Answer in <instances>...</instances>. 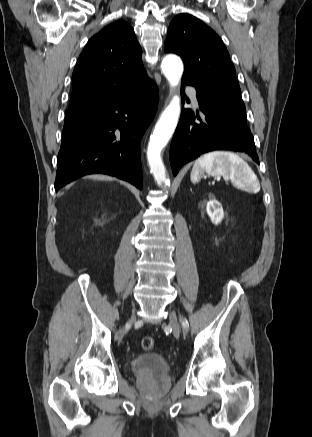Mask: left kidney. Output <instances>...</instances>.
Instances as JSON below:
<instances>
[{
  "instance_id": "1",
  "label": "left kidney",
  "mask_w": 312,
  "mask_h": 437,
  "mask_svg": "<svg viewBox=\"0 0 312 437\" xmlns=\"http://www.w3.org/2000/svg\"><path fill=\"white\" fill-rule=\"evenodd\" d=\"M206 212L211 219V222L218 225L224 217V211L219 201L214 196H210L209 202L206 205Z\"/></svg>"
}]
</instances>
